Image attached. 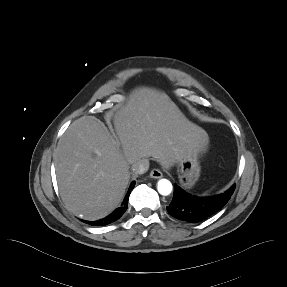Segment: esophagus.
<instances>
[{
  "mask_svg": "<svg viewBox=\"0 0 287 287\" xmlns=\"http://www.w3.org/2000/svg\"><path fill=\"white\" fill-rule=\"evenodd\" d=\"M150 176L151 178H154V179H159L163 176V173L158 170V169H153L151 172H150Z\"/></svg>",
  "mask_w": 287,
  "mask_h": 287,
  "instance_id": "34e87169",
  "label": "esophagus"
}]
</instances>
